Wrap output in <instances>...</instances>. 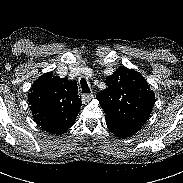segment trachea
<instances>
[{
    "label": "trachea",
    "mask_w": 183,
    "mask_h": 183,
    "mask_svg": "<svg viewBox=\"0 0 183 183\" xmlns=\"http://www.w3.org/2000/svg\"><path fill=\"white\" fill-rule=\"evenodd\" d=\"M80 85H81V88H82V93L88 94V93L91 92L89 87H88L86 79L82 78L80 80Z\"/></svg>",
    "instance_id": "trachea-1"
}]
</instances>
